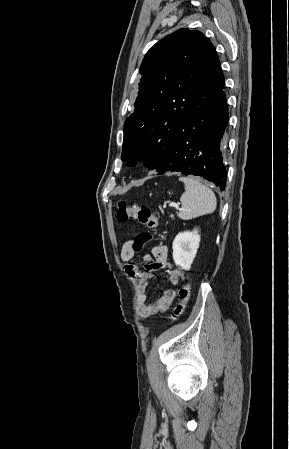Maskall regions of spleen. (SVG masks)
I'll return each instance as SVG.
<instances>
[{
	"instance_id": "spleen-1",
	"label": "spleen",
	"mask_w": 289,
	"mask_h": 449,
	"mask_svg": "<svg viewBox=\"0 0 289 449\" xmlns=\"http://www.w3.org/2000/svg\"><path fill=\"white\" fill-rule=\"evenodd\" d=\"M185 192L180 197L182 207L178 213L182 220H190L205 214H211L216 209V197L213 191L193 179L180 177Z\"/></svg>"
}]
</instances>
